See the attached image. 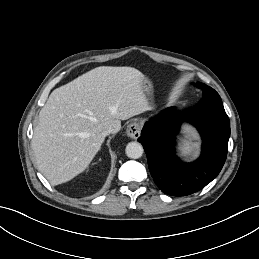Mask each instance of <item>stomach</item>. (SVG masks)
<instances>
[{
    "mask_svg": "<svg viewBox=\"0 0 259 259\" xmlns=\"http://www.w3.org/2000/svg\"><path fill=\"white\" fill-rule=\"evenodd\" d=\"M141 88H142L143 93L146 95V98H147V101L149 104V109L150 110L154 109V106L151 102V96L153 93L151 82L148 79L144 78L141 82Z\"/></svg>",
    "mask_w": 259,
    "mask_h": 259,
    "instance_id": "obj_1",
    "label": "stomach"
}]
</instances>
